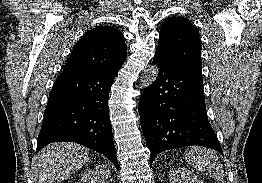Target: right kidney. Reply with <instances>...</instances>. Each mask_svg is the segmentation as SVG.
I'll use <instances>...</instances> for the list:
<instances>
[{
    "instance_id": "obj_1",
    "label": "right kidney",
    "mask_w": 262,
    "mask_h": 183,
    "mask_svg": "<svg viewBox=\"0 0 262 183\" xmlns=\"http://www.w3.org/2000/svg\"><path fill=\"white\" fill-rule=\"evenodd\" d=\"M112 177L110 170L105 165H98L95 168L86 171L81 183H111Z\"/></svg>"
}]
</instances>
